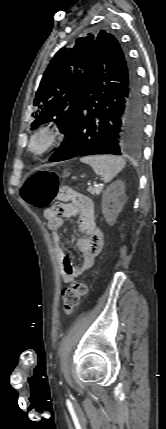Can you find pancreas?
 Wrapping results in <instances>:
<instances>
[{
	"instance_id": "obj_1",
	"label": "pancreas",
	"mask_w": 166,
	"mask_h": 429,
	"mask_svg": "<svg viewBox=\"0 0 166 429\" xmlns=\"http://www.w3.org/2000/svg\"><path fill=\"white\" fill-rule=\"evenodd\" d=\"M88 191L92 194V195H98L101 191H102V187H89Z\"/></svg>"
}]
</instances>
